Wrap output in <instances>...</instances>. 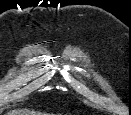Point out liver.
<instances>
[{
    "instance_id": "liver-1",
    "label": "liver",
    "mask_w": 131,
    "mask_h": 115,
    "mask_svg": "<svg viewBox=\"0 0 131 115\" xmlns=\"http://www.w3.org/2000/svg\"><path fill=\"white\" fill-rule=\"evenodd\" d=\"M11 115H37L35 112H31L28 110H20V111H13Z\"/></svg>"
}]
</instances>
